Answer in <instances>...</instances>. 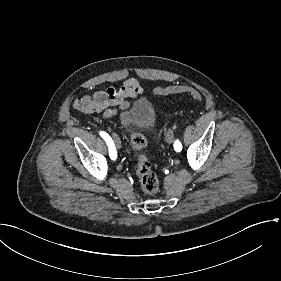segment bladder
<instances>
[{
  "label": "bladder",
  "mask_w": 281,
  "mask_h": 281,
  "mask_svg": "<svg viewBox=\"0 0 281 281\" xmlns=\"http://www.w3.org/2000/svg\"><path fill=\"white\" fill-rule=\"evenodd\" d=\"M117 122L128 136L143 132L152 134L158 123V115L150 97L135 99L130 106L120 110Z\"/></svg>",
  "instance_id": "bladder-1"
}]
</instances>
